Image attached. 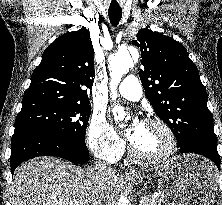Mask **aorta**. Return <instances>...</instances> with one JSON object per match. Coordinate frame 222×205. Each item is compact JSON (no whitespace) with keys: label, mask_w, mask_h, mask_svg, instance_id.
<instances>
[{"label":"aorta","mask_w":222,"mask_h":205,"mask_svg":"<svg viewBox=\"0 0 222 205\" xmlns=\"http://www.w3.org/2000/svg\"><path fill=\"white\" fill-rule=\"evenodd\" d=\"M134 65L133 58L128 50H119L114 56L111 57L109 61L110 69V90L112 100H116L117 92L116 87L121 81L123 75H125L130 68ZM114 112L119 116L126 115L122 107H116ZM123 127V125H121ZM127 192H124L121 196L118 205H126L128 203Z\"/></svg>","instance_id":"obj_1"}]
</instances>
